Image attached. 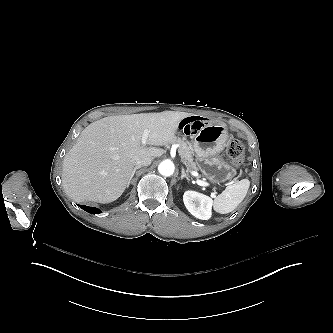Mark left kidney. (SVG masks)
Here are the masks:
<instances>
[{
	"label": "left kidney",
	"mask_w": 333,
	"mask_h": 333,
	"mask_svg": "<svg viewBox=\"0 0 333 333\" xmlns=\"http://www.w3.org/2000/svg\"><path fill=\"white\" fill-rule=\"evenodd\" d=\"M183 201L188 211L198 219L207 220L211 215L212 200L202 194L187 191L183 195Z\"/></svg>",
	"instance_id": "5707ae66"
}]
</instances>
